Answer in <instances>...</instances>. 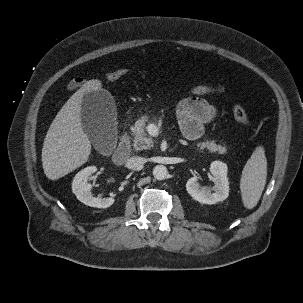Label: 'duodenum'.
I'll list each match as a JSON object with an SVG mask.
<instances>
[{
    "label": "duodenum",
    "mask_w": 303,
    "mask_h": 303,
    "mask_svg": "<svg viewBox=\"0 0 303 303\" xmlns=\"http://www.w3.org/2000/svg\"><path fill=\"white\" fill-rule=\"evenodd\" d=\"M130 152H131V148H130L129 137L127 133H125L121 137L119 145L117 146V148L115 149L112 155V161L117 165H121L128 159Z\"/></svg>",
    "instance_id": "duodenum-1"
}]
</instances>
